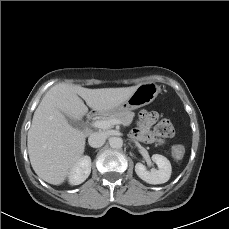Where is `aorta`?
Wrapping results in <instances>:
<instances>
[{
    "mask_svg": "<svg viewBox=\"0 0 229 229\" xmlns=\"http://www.w3.org/2000/svg\"><path fill=\"white\" fill-rule=\"evenodd\" d=\"M109 144L113 149H120L123 146V140L120 137H111L109 139Z\"/></svg>",
    "mask_w": 229,
    "mask_h": 229,
    "instance_id": "1",
    "label": "aorta"
}]
</instances>
